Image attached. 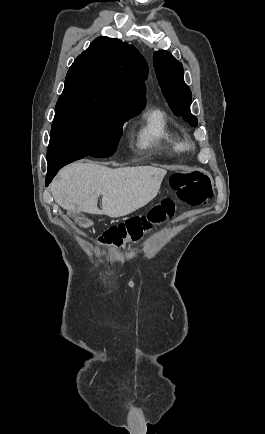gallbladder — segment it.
Listing matches in <instances>:
<instances>
[{
    "mask_svg": "<svg viewBox=\"0 0 265 434\" xmlns=\"http://www.w3.org/2000/svg\"><path fill=\"white\" fill-rule=\"evenodd\" d=\"M77 220L79 221L80 225H82V226L85 225V224H88V221H85L86 217L83 214H80L77 217Z\"/></svg>",
    "mask_w": 265,
    "mask_h": 434,
    "instance_id": "gallbladder-1",
    "label": "gallbladder"
}]
</instances>
